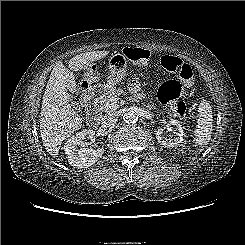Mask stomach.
<instances>
[{
    "label": "stomach",
    "instance_id": "1",
    "mask_svg": "<svg viewBox=\"0 0 245 245\" xmlns=\"http://www.w3.org/2000/svg\"><path fill=\"white\" fill-rule=\"evenodd\" d=\"M127 61V57L121 53H114L109 58L108 66L110 73L107 84L110 88H113L125 77L127 72ZM97 79V73L91 67H86L84 80L87 81V83H91Z\"/></svg>",
    "mask_w": 245,
    "mask_h": 245
}]
</instances>
